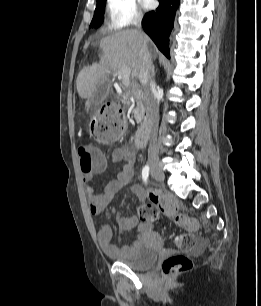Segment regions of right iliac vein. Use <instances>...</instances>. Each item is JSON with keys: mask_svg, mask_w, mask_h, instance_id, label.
<instances>
[{"mask_svg": "<svg viewBox=\"0 0 261 306\" xmlns=\"http://www.w3.org/2000/svg\"><path fill=\"white\" fill-rule=\"evenodd\" d=\"M151 174L156 180L160 182L164 181L165 179L164 172L158 167L156 163L151 164Z\"/></svg>", "mask_w": 261, "mask_h": 306, "instance_id": "right-iliac-vein-1", "label": "right iliac vein"}]
</instances>
